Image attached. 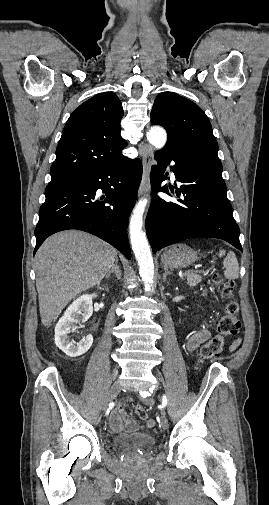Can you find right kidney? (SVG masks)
Instances as JSON below:
<instances>
[{"label": "right kidney", "instance_id": "right-kidney-1", "mask_svg": "<svg viewBox=\"0 0 269 505\" xmlns=\"http://www.w3.org/2000/svg\"><path fill=\"white\" fill-rule=\"evenodd\" d=\"M96 294H84L77 298L65 311L55 326V343L69 357H78L86 353L93 344L91 334L83 338L80 343L69 341L74 324L87 321L93 313L92 299Z\"/></svg>", "mask_w": 269, "mask_h": 505}]
</instances>
